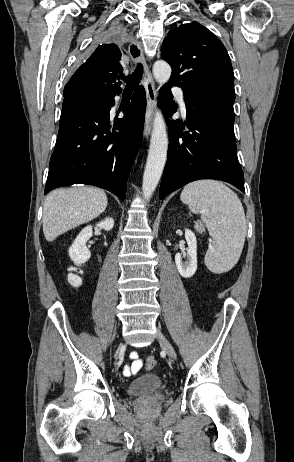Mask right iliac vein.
I'll use <instances>...</instances> for the list:
<instances>
[{
	"instance_id": "63e3f726",
	"label": "right iliac vein",
	"mask_w": 294,
	"mask_h": 462,
	"mask_svg": "<svg viewBox=\"0 0 294 462\" xmlns=\"http://www.w3.org/2000/svg\"><path fill=\"white\" fill-rule=\"evenodd\" d=\"M121 347H122V344L119 345V348H118V350H117V353H118V351H119V349H120Z\"/></svg>"
}]
</instances>
